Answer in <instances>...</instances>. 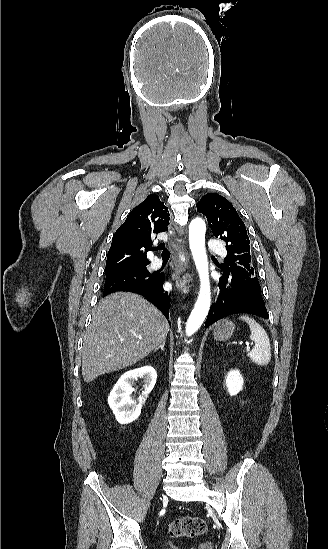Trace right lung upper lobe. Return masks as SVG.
I'll list each match as a JSON object with an SVG mask.
<instances>
[{
  "label": "right lung upper lobe",
  "instance_id": "right-lung-upper-lobe-1",
  "mask_svg": "<svg viewBox=\"0 0 328 549\" xmlns=\"http://www.w3.org/2000/svg\"><path fill=\"white\" fill-rule=\"evenodd\" d=\"M168 208L159 196L150 194L127 216L112 238L106 261V273L147 266L152 238L168 230Z\"/></svg>",
  "mask_w": 328,
  "mask_h": 549
}]
</instances>
